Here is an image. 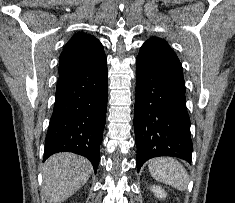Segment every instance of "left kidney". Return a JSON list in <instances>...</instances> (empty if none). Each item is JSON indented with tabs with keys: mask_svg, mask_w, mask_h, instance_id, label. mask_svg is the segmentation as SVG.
Returning a JSON list of instances; mask_svg holds the SVG:
<instances>
[{
	"mask_svg": "<svg viewBox=\"0 0 235 203\" xmlns=\"http://www.w3.org/2000/svg\"><path fill=\"white\" fill-rule=\"evenodd\" d=\"M150 189L157 198L164 199L167 196V193L165 192V190L162 189L160 186L153 185L150 187Z\"/></svg>",
	"mask_w": 235,
	"mask_h": 203,
	"instance_id": "left-kidney-1",
	"label": "left kidney"
}]
</instances>
